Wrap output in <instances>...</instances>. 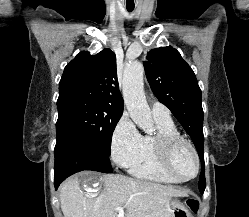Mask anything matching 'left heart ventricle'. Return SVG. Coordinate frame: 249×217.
Masks as SVG:
<instances>
[{"label": "left heart ventricle", "mask_w": 249, "mask_h": 217, "mask_svg": "<svg viewBox=\"0 0 249 217\" xmlns=\"http://www.w3.org/2000/svg\"><path fill=\"white\" fill-rule=\"evenodd\" d=\"M173 165L176 172L182 177H189L195 171V160L191 151L182 146L178 148L173 158Z\"/></svg>", "instance_id": "obj_1"}]
</instances>
